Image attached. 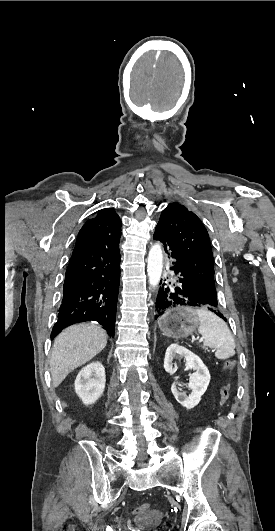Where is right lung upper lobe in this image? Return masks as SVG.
I'll return each mask as SVG.
<instances>
[{
  "mask_svg": "<svg viewBox=\"0 0 275 531\" xmlns=\"http://www.w3.org/2000/svg\"><path fill=\"white\" fill-rule=\"evenodd\" d=\"M121 236V220L113 209H103L79 231L76 246L102 236Z\"/></svg>",
  "mask_w": 275,
  "mask_h": 531,
  "instance_id": "right-lung-upper-lobe-1",
  "label": "right lung upper lobe"
}]
</instances>
